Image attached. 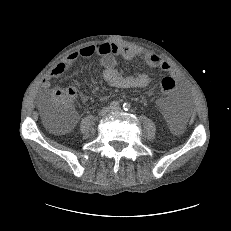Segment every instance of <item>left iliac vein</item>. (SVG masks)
<instances>
[{
  "mask_svg": "<svg viewBox=\"0 0 231 231\" xmlns=\"http://www.w3.org/2000/svg\"><path fill=\"white\" fill-rule=\"evenodd\" d=\"M120 110H121V109H120L119 107H116V108H113V109H112L113 112H120Z\"/></svg>",
  "mask_w": 231,
  "mask_h": 231,
  "instance_id": "obj_1",
  "label": "left iliac vein"
}]
</instances>
